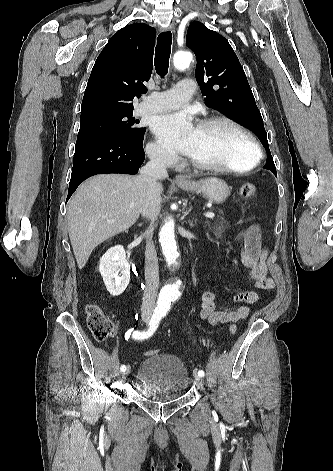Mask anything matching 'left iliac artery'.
I'll return each mask as SVG.
<instances>
[{"label": "left iliac artery", "mask_w": 333, "mask_h": 471, "mask_svg": "<svg viewBox=\"0 0 333 471\" xmlns=\"http://www.w3.org/2000/svg\"><path fill=\"white\" fill-rule=\"evenodd\" d=\"M161 315H162V317L166 316V312L161 313ZM198 375L201 376V377H203V376L205 375V373H204L203 370H199V371H198Z\"/></svg>", "instance_id": "left-iliac-artery-1"}]
</instances>
